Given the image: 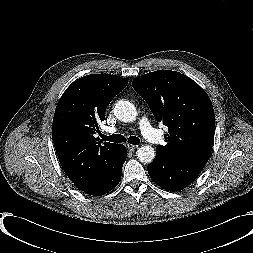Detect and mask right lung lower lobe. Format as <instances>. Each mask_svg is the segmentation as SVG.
<instances>
[{"label": "right lung lower lobe", "mask_w": 253, "mask_h": 253, "mask_svg": "<svg viewBox=\"0 0 253 253\" xmlns=\"http://www.w3.org/2000/svg\"><path fill=\"white\" fill-rule=\"evenodd\" d=\"M120 154L114 169L94 188L86 191L89 195L100 196L112 190L120 181L122 166L126 160V148L120 144Z\"/></svg>", "instance_id": "obj_1"}]
</instances>
